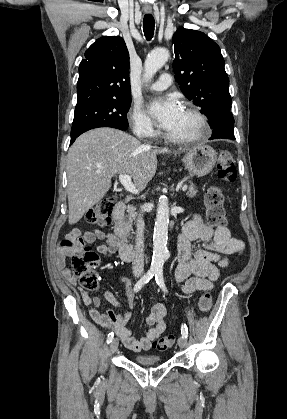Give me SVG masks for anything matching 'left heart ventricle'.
I'll return each mask as SVG.
<instances>
[{
  "instance_id": "b2bd125f",
  "label": "left heart ventricle",
  "mask_w": 287,
  "mask_h": 419,
  "mask_svg": "<svg viewBox=\"0 0 287 419\" xmlns=\"http://www.w3.org/2000/svg\"><path fill=\"white\" fill-rule=\"evenodd\" d=\"M198 130L197 120L185 109H182L176 122L167 132L174 136L186 137L195 134Z\"/></svg>"
}]
</instances>
